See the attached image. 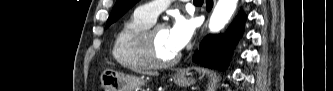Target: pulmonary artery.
<instances>
[{
    "label": "pulmonary artery",
    "instance_id": "e3ab8cb5",
    "mask_svg": "<svg viewBox=\"0 0 333 91\" xmlns=\"http://www.w3.org/2000/svg\"><path fill=\"white\" fill-rule=\"evenodd\" d=\"M166 6V1H153L140 6L137 11L151 21H155Z\"/></svg>",
    "mask_w": 333,
    "mask_h": 91
}]
</instances>
